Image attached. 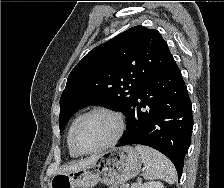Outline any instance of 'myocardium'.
<instances>
[{
    "mask_svg": "<svg viewBox=\"0 0 224 188\" xmlns=\"http://www.w3.org/2000/svg\"><path fill=\"white\" fill-rule=\"evenodd\" d=\"M95 113H104V114H108V115L112 116L117 123V131H116L115 135L112 137V139L110 141H108L107 143H105L97 148H94V149L84 150L77 144V132H78V129H79L81 123L87 117H89L90 115L95 114ZM125 128H126L125 119L120 112H118L114 109L108 108V107H95V108L85 112L77 119V121L73 127L72 136H71V142H72L73 149L81 155L94 154V153L106 150V149L114 146L119 141V139L122 137V135L125 131Z\"/></svg>",
    "mask_w": 224,
    "mask_h": 188,
    "instance_id": "myocardium-1",
    "label": "myocardium"
}]
</instances>
